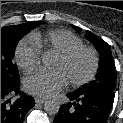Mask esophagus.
Listing matches in <instances>:
<instances>
[{
	"label": "esophagus",
	"instance_id": "1",
	"mask_svg": "<svg viewBox=\"0 0 123 123\" xmlns=\"http://www.w3.org/2000/svg\"><path fill=\"white\" fill-rule=\"evenodd\" d=\"M35 102L38 104H44L46 102V100L40 99V98H35Z\"/></svg>",
	"mask_w": 123,
	"mask_h": 123
}]
</instances>
